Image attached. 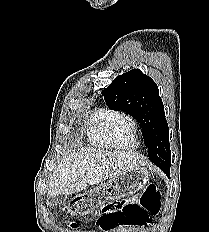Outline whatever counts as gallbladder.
Here are the masks:
<instances>
[{"label":"gallbladder","mask_w":209,"mask_h":232,"mask_svg":"<svg viewBox=\"0 0 209 232\" xmlns=\"http://www.w3.org/2000/svg\"><path fill=\"white\" fill-rule=\"evenodd\" d=\"M66 198H67L66 195L60 194V195L51 199L50 205L57 206V205L63 204L65 202Z\"/></svg>","instance_id":"gallbladder-1"}]
</instances>
